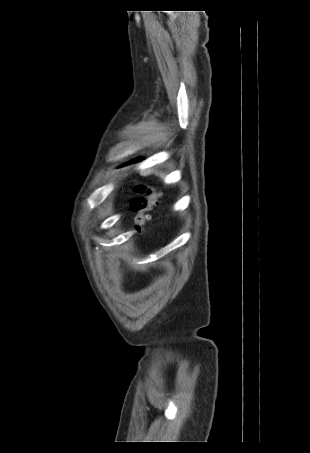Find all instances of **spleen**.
Wrapping results in <instances>:
<instances>
[{"label": "spleen", "instance_id": "3e777b00", "mask_svg": "<svg viewBox=\"0 0 310 453\" xmlns=\"http://www.w3.org/2000/svg\"><path fill=\"white\" fill-rule=\"evenodd\" d=\"M156 174L158 175V173H156ZM159 176L164 177V175H162L161 173L159 174Z\"/></svg>", "mask_w": 310, "mask_h": 453}]
</instances>
